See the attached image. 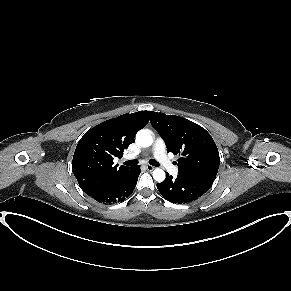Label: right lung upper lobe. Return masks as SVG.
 Here are the masks:
<instances>
[{
  "instance_id": "obj_1",
  "label": "right lung upper lobe",
  "mask_w": 291,
  "mask_h": 291,
  "mask_svg": "<svg viewBox=\"0 0 291 291\" xmlns=\"http://www.w3.org/2000/svg\"><path fill=\"white\" fill-rule=\"evenodd\" d=\"M151 111L124 114L104 121L87 131L79 140L72 161L73 173L89 196L109 186L131 167L114 165V157L134 142Z\"/></svg>"
}]
</instances>
